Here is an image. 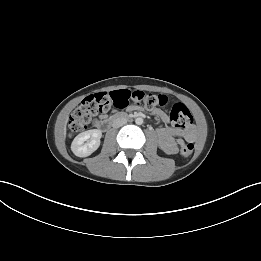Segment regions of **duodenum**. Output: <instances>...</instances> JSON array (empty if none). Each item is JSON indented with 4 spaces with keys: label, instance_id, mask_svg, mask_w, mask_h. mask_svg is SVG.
I'll return each instance as SVG.
<instances>
[{
    "label": "duodenum",
    "instance_id": "obj_1",
    "mask_svg": "<svg viewBox=\"0 0 261 261\" xmlns=\"http://www.w3.org/2000/svg\"><path fill=\"white\" fill-rule=\"evenodd\" d=\"M120 119H130V117L125 114H115L111 118L98 121L96 127L101 131H107L108 129H110L114 121Z\"/></svg>",
    "mask_w": 261,
    "mask_h": 261
}]
</instances>
